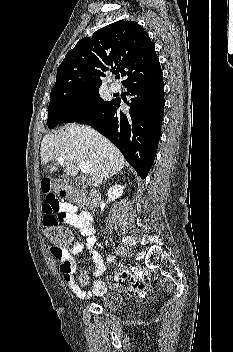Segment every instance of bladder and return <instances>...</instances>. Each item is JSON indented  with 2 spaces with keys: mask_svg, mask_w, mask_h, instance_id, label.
<instances>
[{
  "mask_svg": "<svg viewBox=\"0 0 233 352\" xmlns=\"http://www.w3.org/2000/svg\"><path fill=\"white\" fill-rule=\"evenodd\" d=\"M100 303L104 308L115 311L123 303V297L117 290H108L102 294Z\"/></svg>",
  "mask_w": 233,
  "mask_h": 352,
  "instance_id": "1",
  "label": "bladder"
}]
</instances>
